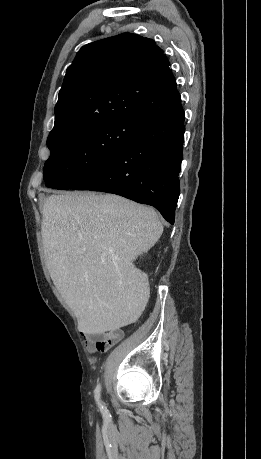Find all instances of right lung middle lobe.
<instances>
[{"instance_id": "1", "label": "right lung middle lobe", "mask_w": 261, "mask_h": 459, "mask_svg": "<svg viewBox=\"0 0 261 459\" xmlns=\"http://www.w3.org/2000/svg\"><path fill=\"white\" fill-rule=\"evenodd\" d=\"M144 124L115 120L68 135L48 136L44 165L47 187L70 189L119 154Z\"/></svg>"}]
</instances>
